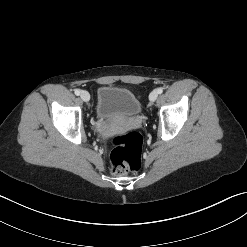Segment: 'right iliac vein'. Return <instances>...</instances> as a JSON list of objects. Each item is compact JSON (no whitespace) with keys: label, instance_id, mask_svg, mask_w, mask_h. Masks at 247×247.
I'll return each mask as SVG.
<instances>
[{"label":"right iliac vein","instance_id":"63e3f726","mask_svg":"<svg viewBox=\"0 0 247 247\" xmlns=\"http://www.w3.org/2000/svg\"><path fill=\"white\" fill-rule=\"evenodd\" d=\"M80 97L84 102H88L90 100V94L87 91H81Z\"/></svg>","mask_w":247,"mask_h":247}]
</instances>
